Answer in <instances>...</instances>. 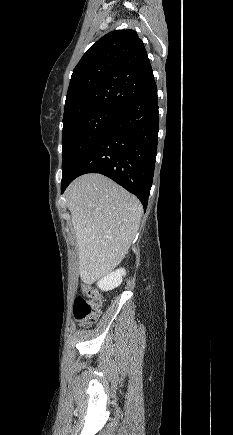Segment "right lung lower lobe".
Listing matches in <instances>:
<instances>
[{
  "mask_svg": "<svg viewBox=\"0 0 233 435\" xmlns=\"http://www.w3.org/2000/svg\"><path fill=\"white\" fill-rule=\"evenodd\" d=\"M159 129L155 81L121 110L62 179L61 193L78 176L103 174L136 195L144 209L153 182Z\"/></svg>",
  "mask_w": 233,
  "mask_h": 435,
  "instance_id": "98d812e1",
  "label": "right lung lower lobe"
}]
</instances>
